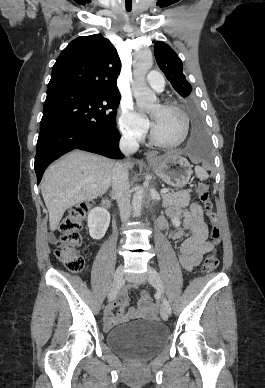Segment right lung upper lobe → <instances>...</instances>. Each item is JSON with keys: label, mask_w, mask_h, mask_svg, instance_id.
Instances as JSON below:
<instances>
[{"label": "right lung upper lobe", "mask_w": 265, "mask_h": 388, "mask_svg": "<svg viewBox=\"0 0 265 388\" xmlns=\"http://www.w3.org/2000/svg\"><path fill=\"white\" fill-rule=\"evenodd\" d=\"M120 69L117 50L108 39L101 34L78 37L57 58L47 95L115 89Z\"/></svg>", "instance_id": "right-lung-upper-lobe-1"}]
</instances>
